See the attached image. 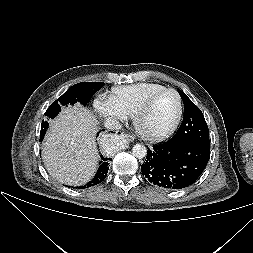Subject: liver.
Segmentation results:
<instances>
[{
    "mask_svg": "<svg viewBox=\"0 0 253 253\" xmlns=\"http://www.w3.org/2000/svg\"><path fill=\"white\" fill-rule=\"evenodd\" d=\"M97 129L93 113L80 104L62 109L50 121V130L42 144V158L53 178L74 186L92 178L98 159Z\"/></svg>",
    "mask_w": 253,
    "mask_h": 253,
    "instance_id": "liver-1",
    "label": "liver"
}]
</instances>
